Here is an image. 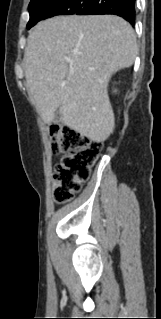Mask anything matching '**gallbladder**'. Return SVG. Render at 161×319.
Masks as SVG:
<instances>
[{
  "mask_svg": "<svg viewBox=\"0 0 161 319\" xmlns=\"http://www.w3.org/2000/svg\"><path fill=\"white\" fill-rule=\"evenodd\" d=\"M59 118H60V113H59V111L57 110L56 113H55L54 122H55V123H58V122H59Z\"/></svg>",
  "mask_w": 161,
  "mask_h": 319,
  "instance_id": "1",
  "label": "gallbladder"
}]
</instances>
